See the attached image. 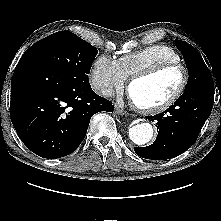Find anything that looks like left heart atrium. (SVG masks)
<instances>
[{
    "label": "left heart atrium",
    "mask_w": 221,
    "mask_h": 221,
    "mask_svg": "<svg viewBox=\"0 0 221 221\" xmlns=\"http://www.w3.org/2000/svg\"><path fill=\"white\" fill-rule=\"evenodd\" d=\"M130 99H131L133 102H135L131 94H130Z\"/></svg>",
    "instance_id": "1"
}]
</instances>
